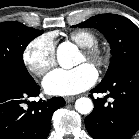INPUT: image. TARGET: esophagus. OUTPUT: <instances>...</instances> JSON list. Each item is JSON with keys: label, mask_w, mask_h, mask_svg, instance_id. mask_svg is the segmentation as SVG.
<instances>
[{"label": "esophagus", "mask_w": 139, "mask_h": 139, "mask_svg": "<svg viewBox=\"0 0 139 139\" xmlns=\"http://www.w3.org/2000/svg\"><path fill=\"white\" fill-rule=\"evenodd\" d=\"M75 99H76V97H74V96L65 97V101H66L67 103L73 102Z\"/></svg>", "instance_id": "34e87169"}]
</instances>
